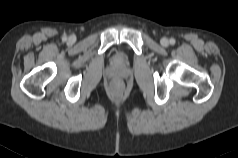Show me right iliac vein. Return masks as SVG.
Listing matches in <instances>:
<instances>
[{"mask_svg":"<svg viewBox=\"0 0 238 158\" xmlns=\"http://www.w3.org/2000/svg\"><path fill=\"white\" fill-rule=\"evenodd\" d=\"M70 41H74V38L73 37H70V39H69Z\"/></svg>","mask_w":238,"mask_h":158,"instance_id":"63e3f726","label":"right iliac vein"}]
</instances>
